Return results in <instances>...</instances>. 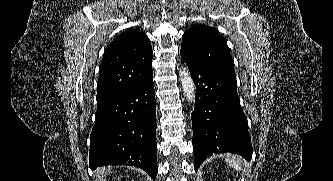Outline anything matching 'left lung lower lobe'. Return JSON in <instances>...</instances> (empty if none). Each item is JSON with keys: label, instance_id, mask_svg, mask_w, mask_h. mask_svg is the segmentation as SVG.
Wrapping results in <instances>:
<instances>
[{"label": "left lung lower lobe", "instance_id": "obj_1", "mask_svg": "<svg viewBox=\"0 0 333 181\" xmlns=\"http://www.w3.org/2000/svg\"><path fill=\"white\" fill-rule=\"evenodd\" d=\"M181 57L196 84L195 109L191 114L195 170L213 153H235L250 161L253 149L247 118L240 107L236 77L183 53Z\"/></svg>", "mask_w": 333, "mask_h": 181}]
</instances>
